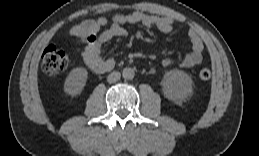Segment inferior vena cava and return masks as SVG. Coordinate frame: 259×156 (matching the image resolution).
<instances>
[{
    "instance_id": "inferior-vena-cava-1",
    "label": "inferior vena cava",
    "mask_w": 259,
    "mask_h": 156,
    "mask_svg": "<svg viewBox=\"0 0 259 156\" xmlns=\"http://www.w3.org/2000/svg\"><path fill=\"white\" fill-rule=\"evenodd\" d=\"M120 77H121L120 72L113 71L111 74L108 75L107 81L109 83H115V82H117L120 79Z\"/></svg>"
}]
</instances>
